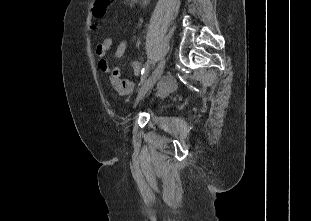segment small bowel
Listing matches in <instances>:
<instances>
[{
	"label": "small bowel",
	"instance_id": "small-bowel-1",
	"mask_svg": "<svg viewBox=\"0 0 311 221\" xmlns=\"http://www.w3.org/2000/svg\"><path fill=\"white\" fill-rule=\"evenodd\" d=\"M131 4H135L137 0H129ZM97 46H113V40L111 37H104L102 41L97 45ZM127 41L126 40H121L119 44L117 45L115 52H114V57L115 59H120L124 56L126 50H127ZM139 46V43H138ZM97 56L99 57V62H98V67L99 69L104 72L108 73L110 75L113 74L114 70L111 69L109 61L106 58L107 53H96ZM131 66L133 68V72L135 75L139 74L140 72V62L138 60H132L131 61ZM136 87V84L132 81L127 80V83L125 86L118 87L117 90L119 93L123 96H128L132 94Z\"/></svg>",
	"mask_w": 311,
	"mask_h": 221
}]
</instances>
